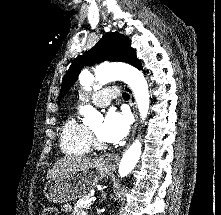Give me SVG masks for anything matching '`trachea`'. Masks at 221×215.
<instances>
[{"instance_id": "obj_1", "label": "trachea", "mask_w": 221, "mask_h": 215, "mask_svg": "<svg viewBox=\"0 0 221 215\" xmlns=\"http://www.w3.org/2000/svg\"><path fill=\"white\" fill-rule=\"evenodd\" d=\"M124 100H129L130 96L126 92L122 94Z\"/></svg>"}]
</instances>
